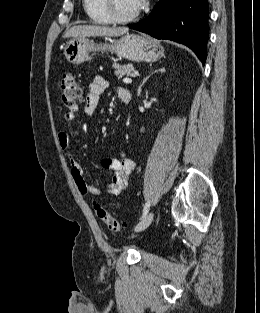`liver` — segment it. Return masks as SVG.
Wrapping results in <instances>:
<instances>
[{"instance_id":"obj_1","label":"liver","mask_w":260,"mask_h":313,"mask_svg":"<svg viewBox=\"0 0 260 313\" xmlns=\"http://www.w3.org/2000/svg\"><path fill=\"white\" fill-rule=\"evenodd\" d=\"M128 32L125 27H107L99 25H77L66 30L64 38L68 37H89V36H120Z\"/></svg>"}]
</instances>
